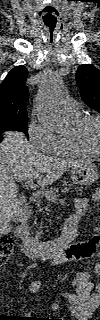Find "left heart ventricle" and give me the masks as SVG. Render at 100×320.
I'll use <instances>...</instances> for the list:
<instances>
[{"instance_id": "b2bd125f", "label": "left heart ventricle", "mask_w": 100, "mask_h": 320, "mask_svg": "<svg viewBox=\"0 0 100 320\" xmlns=\"http://www.w3.org/2000/svg\"><path fill=\"white\" fill-rule=\"evenodd\" d=\"M81 138L92 149H98L100 146V133L98 124L95 121L86 123L81 131Z\"/></svg>"}]
</instances>
